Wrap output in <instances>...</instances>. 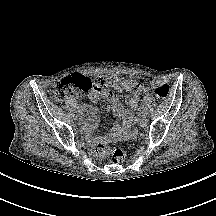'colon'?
<instances>
[{
	"mask_svg": "<svg viewBox=\"0 0 216 216\" xmlns=\"http://www.w3.org/2000/svg\"><path fill=\"white\" fill-rule=\"evenodd\" d=\"M106 81L100 77L95 82L91 79L79 74H74L66 77L60 81L53 93V98L62 102L70 97L81 95H92L94 93L102 92L105 89ZM152 91L158 98L166 99L170 95L171 88L169 85L153 82L149 85ZM98 155L106 157L110 156L112 161L116 164L123 162L126 158V152L119 148H110L107 145L100 144L96 147Z\"/></svg>",
	"mask_w": 216,
	"mask_h": 216,
	"instance_id": "colon-1",
	"label": "colon"
}]
</instances>
